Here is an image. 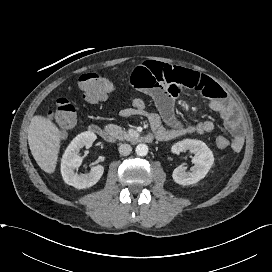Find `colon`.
<instances>
[{
    "label": "colon",
    "mask_w": 272,
    "mask_h": 272,
    "mask_svg": "<svg viewBox=\"0 0 272 272\" xmlns=\"http://www.w3.org/2000/svg\"><path fill=\"white\" fill-rule=\"evenodd\" d=\"M79 88L86 101L97 102L107 98L113 90V83L109 75L93 71L80 76ZM131 104L138 110L146 107L145 101L141 98L133 99ZM50 118L62 132L74 127L77 122V113L73 102L67 97L59 98L50 112ZM216 146L225 149L230 146V142L226 137L219 136L216 139Z\"/></svg>",
    "instance_id": "5ec220e1"
}]
</instances>
